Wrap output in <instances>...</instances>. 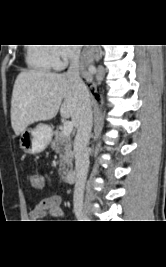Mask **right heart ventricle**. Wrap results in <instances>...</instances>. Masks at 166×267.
I'll return each mask as SVG.
<instances>
[{
	"label": "right heart ventricle",
	"mask_w": 166,
	"mask_h": 267,
	"mask_svg": "<svg viewBox=\"0 0 166 267\" xmlns=\"http://www.w3.org/2000/svg\"><path fill=\"white\" fill-rule=\"evenodd\" d=\"M25 59L28 67L37 71L48 72L57 67L53 48L48 44H29L26 48Z\"/></svg>",
	"instance_id": "obj_1"
}]
</instances>
